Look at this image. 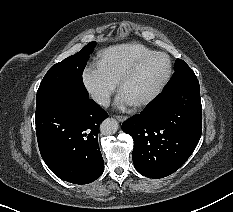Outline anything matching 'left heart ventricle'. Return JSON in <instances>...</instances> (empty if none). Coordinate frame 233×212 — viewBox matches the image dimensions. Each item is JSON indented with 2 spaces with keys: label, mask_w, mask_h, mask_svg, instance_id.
<instances>
[{
  "label": "left heart ventricle",
  "mask_w": 233,
  "mask_h": 212,
  "mask_svg": "<svg viewBox=\"0 0 233 212\" xmlns=\"http://www.w3.org/2000/svg\"><path fill=\"white\" fill-rule=\"evenodd\" d=\"M167 59L156 55L148 59L124 86L122 92L131 103L145 98L159 84L167 72Z\"/></svg>",
  "instance_id": "1"
}]
</instances>
